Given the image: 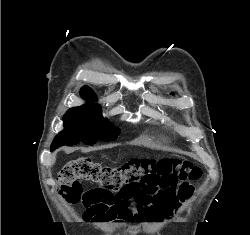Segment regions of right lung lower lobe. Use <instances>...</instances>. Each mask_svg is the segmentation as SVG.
Segmentation results:
<instances>
[{
  "instance_id": "obj_1",
  "label": "right lung lower lobe",
  "mask_w": 250,
  "mask_h": 235,
  "mask_svg": "<svg viewBox=\"0 0 250 235\" xmlns=\"http://www.w3.org/2000/svg\"><path fill=\"white\" fill-rule=\"evenodd\" d=\"M56 148H58V147H56V146H51V151H54Z\"/></svg>"
}]
</instances>
